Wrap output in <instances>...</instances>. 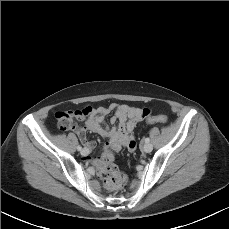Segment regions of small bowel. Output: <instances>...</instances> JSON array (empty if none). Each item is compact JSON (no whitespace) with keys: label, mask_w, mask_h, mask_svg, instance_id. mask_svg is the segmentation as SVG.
Returning a JSON list of instances; mask_svg holds the SVG:
<instances>
[{"label":"small bowel","mask_w":229,"mask_h":229,"mask_svg":"<svg viewBox=\"0 0 229 229\" xmlns=\"http://www.w3.org/2000/svg\"><path fill=\"white\" fill-rule=\"evenodd\" d=\"M111 111H114L111 121L117 122L118 125L110 129L104 125V117ZM75 114L77 119L85 120L82 127H75L73 129H75L86 150L89 151L95 146V143L87 138V132L98 133L108 138L109 147L113 152H119L122 146H126L130 151L135 149L136 142L132 136V131L143 120L140 108L112 103L108 107H87L83 110L75 111ZM87 159L97 170L101 171L103 164L101 157L91 156Z\"/></svg>","instance_id":"c3829d8e"}]
</instances>
